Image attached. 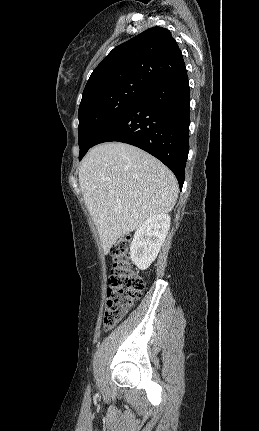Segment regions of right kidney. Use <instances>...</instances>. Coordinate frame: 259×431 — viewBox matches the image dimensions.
Here are the masks:
<instances>
[{
	"mask_svg": "<svg viewBox=\"0 0 259 431\" xmlns=\"http://www.w3.org/2000/svg\"><path fill=\"white\" fill-rule=\"evenodd\" d=\"M171 218L168 214L153 215L135 231L130 257L140 269H147L156 259L168 234Z\"/></svg>",
	"mask_w": 259,
	"mask_h": 431,
	"instance_id": "obj_1",
	"label": "right kidney"
}]
</instances>
